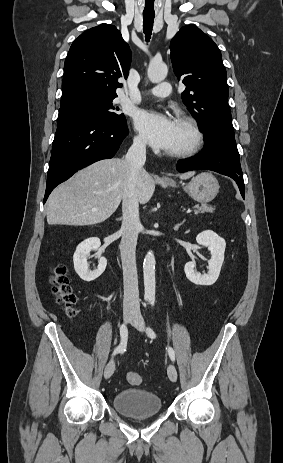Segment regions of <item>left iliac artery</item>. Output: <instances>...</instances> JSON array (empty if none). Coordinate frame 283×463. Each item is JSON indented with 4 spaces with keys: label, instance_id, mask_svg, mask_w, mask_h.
<instances>
[{
    "label": "left iliac artery",
    "instance_id": "left-iliac-artery-1",
    "mask_svg": "<svg viewBox=\"0 0 283 463\" xmlns=\"http://www.w3.org/2000/svg\"><path fill=\"white\" fill-rule=\"evenodd\" d=\"M150 304H151V306H154L155 300H153V299L150 300ZM147 335H148L150 338H152V339H153V338H156L155 332H154L153 329L150 328V327L147 328ZM167 351H168V354H169L170 359H171L172 361H175V352H174V350H173L171 347H168V348H167Z\"/></svg>",
    "mask_w": 283,
    "mask_h": 463
}]
</instances>
